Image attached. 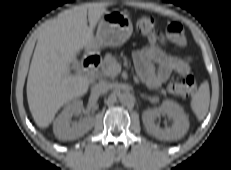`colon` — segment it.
Here are the masks:
<instances>
[{
	"label": "colon",
	"instance_id": "1",
	"mask_svg": "<svg viewBox=\"0 0 231 170\" xmlns=\"http://www.w3.org/2000/svg\"><path fill=\"white\" fill-rule=\"evenodd\" d=\"M136 29L143 36L153 37L158 35L155 20L150 16H140L136 19ZM169 91L179 97L187 98L197 91V81L192 75H187L182 80L169 84Z\"/></svg>",
	"mask_w": 231,
	"mask_h": 170
}]
</instances>
